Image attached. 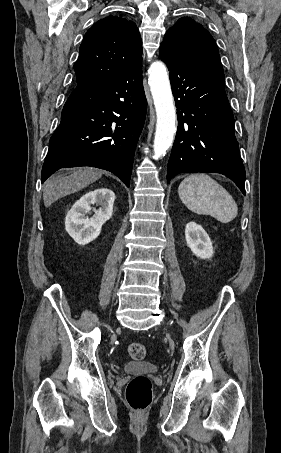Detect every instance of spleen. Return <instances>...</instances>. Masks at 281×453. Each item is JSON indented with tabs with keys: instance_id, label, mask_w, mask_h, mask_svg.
<instances>
[{
	"instance_id": "spleen-1",
	"label": "spleen",
	"mask_w": 281,
	"mask_h": 453,
	"mask_svg": "<svg viewBox=\"0 0 281 453\" xmlns=\"http://www.w3.org/2000/svg\"><path fill=\"white\" fill-rule=\"evenodd\" d=\"M178 192L187 208L197 214H211L220 222H230L238 214L233 196L203 172L184 178L179 184Z\"/></svg>"
}]
</instances>
